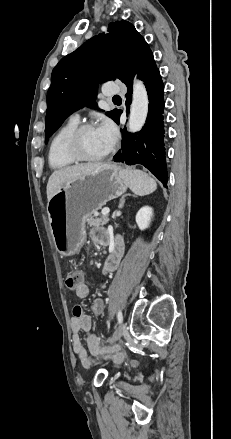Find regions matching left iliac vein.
<instances>
[{"instance_id":"4c4485c4","label":"left iliac vein","mask_w":231,"mask_h":439,"mask_svg":"<svg viewBox=\"0 0 231 439\" xmlns=\"http://www.w3.org/2000/svg\"><path fill=\"white\" fill-rule=\"evenodd\" d=\"M127 329H126V325L124 322H121L116 334L114 335L111 344L116 343L117 341H119L122 336L126 333Z\"/></svg>"}]
</instances>
